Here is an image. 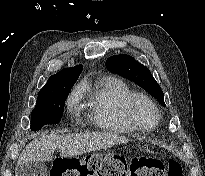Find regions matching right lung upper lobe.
Returning a JSON list of instances; mask_svg holds the SVG:
<instances>
[{
	"label": "right lung upper lobe",
	"mask_w": 205,
	"mask_h": 176,
	"mask_svg": "<svg viewBox=\"0 0 205 176\" xmlns=\"http://www.w3.org/2000/svg\"><path fill=\"white\" fill-rule=\"evenodd\" d=\"M82 69L83 66L78 65L71 68H64L57 74L52 75L46 85L39 91L38 96L54 93L64 88H72Z\"/></svg>",
	"instance_id": "right-lung-upper-lobe-1"
}]
</instances>
